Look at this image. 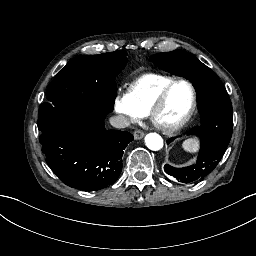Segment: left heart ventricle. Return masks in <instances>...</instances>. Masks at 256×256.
Masks as SVG:
<instances>
[{"label": "left heart ventricle", "mask_w": 256, "mask_h": 256, "mask_svg": "<svg viewBox=\"0 0 256 256\" xmlns=\"http://www.w3.org/2000/svg\"><path fill=\"white\" fill-rule=\"evenodd\" d=\"M192 94L186 83H178L171 90L166 102L159 109L152 111V117L168 131L179 122L191 107Z\"/></svg>", "instance_id": "1"}]
</instances>
